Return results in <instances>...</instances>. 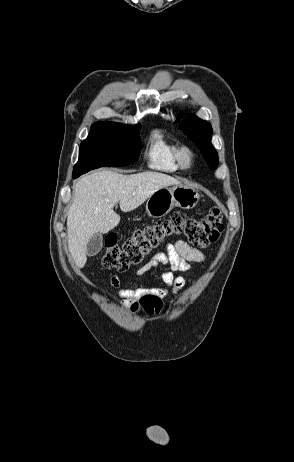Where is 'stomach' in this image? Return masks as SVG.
I'll list each match as a JSON object with an SVG mask.
<instances>
[{
	"label": "stomach",
	"mask_w": 294,
	"mask_h": 462,
	"mask_svg": "<svg viewBox=\"0 0 294 462\" xmlns=\"http://www.w3.org/2000/svg\"><path fill=\"white\" fill-rule=\"evenodd\" d=\"M200 198L195 188L182 184L171 185L156 190L146 201V212L153 218H160L168 214L175 206L191 209L196 206Z\"/></svg>",
	"instance_id": "stomach-1"
}]
</instances>
